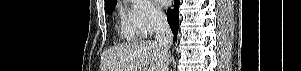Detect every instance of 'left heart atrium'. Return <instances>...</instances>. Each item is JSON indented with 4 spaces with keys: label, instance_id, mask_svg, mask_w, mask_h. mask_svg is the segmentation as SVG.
Here are the masks:
<instances>
[{
    "label": "left heart atrium",
    "instance_id": "left-heart-atrium-1",
    "mask_svg": "<svg viewBox=\"0 0 301 71\" xmlns=\"http://www.w3.org/2000/svg\"><path fill=\"white\" fill-rule=\"evenodd\" d=\"M159 3H160L161 5H167V4H168V1H166V0H160Z\"/></svg>",
    "mask_w": 301,
    "mask_h": 71
}]
</instances>
